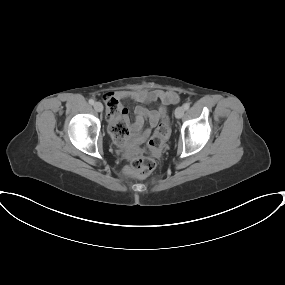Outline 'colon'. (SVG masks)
<instances>
[{"label":"colon","instance_id":"obj_1","mask_svg":"<svg viewBox=\"0 0 285 285\" xmlns=\"http://www.w3.org/2000/svg\"><path fill=\"white\" fill-rule=\"evenodd\" d=\"M106 107L109 114L118 116L120 114V103L114 98L106 100ZM110 131L117 143H124L129 135V125L120 119L114 124H110ZM170 134L169 122L167 118L162 119L156 128L153 137L147 145L148 153H155L162 149L165 140ZM156 163L153 158L139 154L132 158L130 168L133 173L139 176L149 175L155 169Z\"/></svg>","mask_w":285,"mask_h":285}]
</instances>
